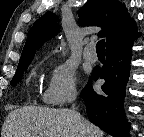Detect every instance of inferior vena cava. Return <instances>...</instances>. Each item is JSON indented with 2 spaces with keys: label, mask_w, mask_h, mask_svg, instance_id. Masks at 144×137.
<instances>
[{
  "label": "inferior vena cava",
  "mask_w": 144,
  "mask_h": 137,
  "mask_svg": "<svg viewBox=\"0 0 144 137\" xmlns=\"http://www.w3.org/2000/svg\"><path fill=\"white\" fill-rule=\"evenodd\" d=\"M72 100H75V97H73ZM74 113H75V119H76L77 124H78V130H79L78 137H85V128L81 122L80 114L77 111H74Z\"/></svg>",
  "instance_id": "602c4592"
}]
</instances>
